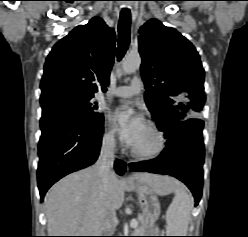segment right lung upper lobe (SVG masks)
<instances>
[{
    "label": "right lung upper lobe",
    "instance_id": "obj_1",
    "mask_svg": "<svg viewBox=\"0 0 248 237\" xmlns=\"http://www.w3.org/2000/svg\"><path fill=\"white\" fill-rule=\"evenodd\" d=\"M115 41L114 30L99 17L77 26L58 41L45 62L40 102L62 96L93 98L100 88L105 92Z\"/></svg>",
    "mask_w": 248,
    "mask_h": 237
}]
</instances>
